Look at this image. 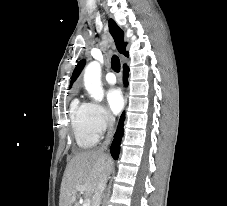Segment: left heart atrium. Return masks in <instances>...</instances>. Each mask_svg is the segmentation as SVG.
<instances>
[{"instance_id":"left-heart-atrium-1","label":"left heart atrium","mask_w":227,"mask_h":206,"mask_svg":"<svg viewBox=\"0 0 227 206\" xmlns=\"http://www.w3.org/2000/svg\"><path fill=\"white\" fill-rule=\"evenodd\" d=\"M107 104L113 114H118L124 106V98L119 88H112L107 92Z\"/></svg>"}]
</instances>
